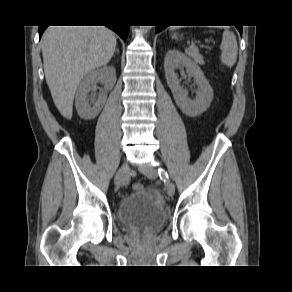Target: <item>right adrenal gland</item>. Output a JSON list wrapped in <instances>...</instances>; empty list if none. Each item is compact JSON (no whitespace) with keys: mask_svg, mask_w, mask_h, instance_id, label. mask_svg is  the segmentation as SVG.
<instances>
[{"mask_svg":"<svg viewBox=\"0 0 292 292\" xmlns=\"http://www.w3.org/2000/svg\"><path fill=\"white\" fill-rule=\"evenodd\" d=\"M116 52L119 53V49L118 48L116 49Z\"/></svg>","mask_w":292,"mask_h":292,"instance_id":"1","label":"right adrenal gland"}]
</instances>
